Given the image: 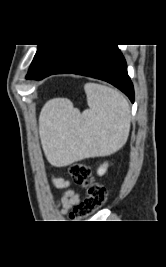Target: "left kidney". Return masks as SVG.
I'll use <instances>...</instances> for the list:
<instances>
[{
	"instance_id": "obj_1",
	"label": "left kidney",
	"mask_w": 166,
	"mask_h": 267,
	"mask_svg": "<svg viewBox=\"0 0 166 267\" xmlns=\"http://www.w3.org/2000/svg\"><path fill=\"white\" fill-rule=\"evenodd\" d=\"M108 164L104 163L103 165H101L97 171L98 175L102 176L106 170H107Z\"/></svg>"
}]
</instances>
